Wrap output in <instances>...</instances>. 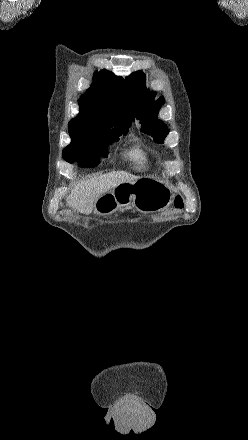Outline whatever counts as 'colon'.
<instances>
[{
  "mask_svg": "<svg viewBox=\"0 0 248 440\" xmlns=\"http://www.w3.org/2000/svg\"><path fill=\"white\" fill-rule=\"evenodd\" d=\"M182 205H183L182 198H181L180 196H177L176 199H175V206H176L177 208H181Z\"/></svg>",
  "mask_w": 248,
  "mask_h": 440,
  "instance_id": "1",
  "label": "colon"
}]
</instances>
